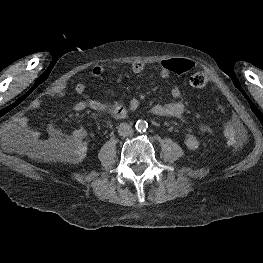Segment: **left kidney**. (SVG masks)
<instances>
[{
    "label": "left kidney",
    "instance_id": "left-kidney-1",
    "mask_svg": "<svg viewBox=\"0 0 263 263\" xmlns=\"http://www.w3.org/2000/svg\"><path fill=\"white\" fill-rule=\"evenodd\" d=\"M185 145L190 150H195L199 147V142L197 138L192 134H187L186 139L184 141Z\"/></svg>",
    "mask_w": 263,
    "mask_h": 263
}]
</instances>
